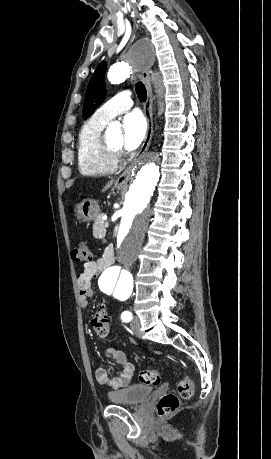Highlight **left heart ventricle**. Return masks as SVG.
<instances>
[{
	"mask_svg": "<svg viewBox=\"0 0 271 459\" xmlns=\"http://www.w3.org/2000/svg\"><path fill=\"white\" fill-rule=\"evenodd\" d=\"M108 142L114 147H123V133L118 131L105 136Z\"/></svg>",
	"mask_w": 271,
	"mask_h": 459,
	"instance_id": "obj_1",
	"label": "left heart ventricle"
}]
</instances>
